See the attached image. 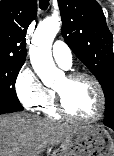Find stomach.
<instances>
[{"label": "stomach", "instance_id": "1", "mask_svg": "<svg viewBox=\"0 0 114 156\" xmlns=\"http://www.w3.org/2000/svg\"><path fill=\"white\" fill-rule=\"evenodd\" d=\"M54 156H114V141L103 127L78 126L62 140Z\"/></svg>", "mask_w": 114, "mask_h": 156}]
</instances>
